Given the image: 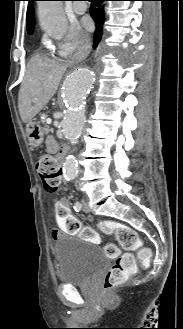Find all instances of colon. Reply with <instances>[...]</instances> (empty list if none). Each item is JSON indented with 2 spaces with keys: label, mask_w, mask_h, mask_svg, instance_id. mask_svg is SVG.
Wrapping results in <instances>:
<instances>
[{
  "label": "colon",
  "mask_w": 183,
  "mask_h": 329,
  "mask_svg": "<svg viewBox=\"0 0 183 329\" xmlns=\"http://www.w3.org/2000/svg\"><path fill=\"white\" fill-rule=\"evenodd\" d=\"M37 171L47 191L55 192L60 188L62 169L55 157L47 154L41 156L37 162ZM100 227L104 234L114 235L123 248L137 250V257L141 263L147 264L149 262L150 251L142 245L132 228L113 221H103ZM105 252L109 257L116 258L113 267L104 279V288L110 290L122 285L133 276L136 273L137 264L132 253L126 252L120 255L118 247L114 244L106 245Z\"/></svg>",
  "instance_id": "1"
}]
</instances>
